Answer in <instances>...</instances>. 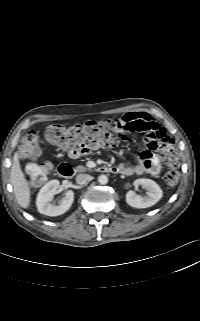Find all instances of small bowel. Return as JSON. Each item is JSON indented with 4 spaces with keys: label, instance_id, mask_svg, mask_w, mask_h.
<instances>
[{
    "label": "small bowel",
    "instance_id": "c3829d8e",
    "mask_svg": "<svg viewBox=\"0 0 200 321\" xmlns=\"http://www.w3.org/2000/svg\"><path fill=\"white\" fill-rule=\"evenodd\" d=\"M118 120L126 125V131L145 132L146 150L139 155V162L134 166L120 164L118 173L126 176L148 174L156 176L161 170V156L173 145L172 138L154 118L146 112H129Z\"/></svg>",
    "mask_w": 200,
    "mask_h": 321
}]
</instances>
